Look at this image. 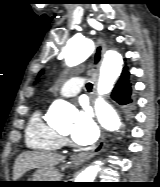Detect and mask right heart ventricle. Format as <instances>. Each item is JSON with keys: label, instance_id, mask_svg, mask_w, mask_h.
Segmentation results:
<instances>
[{"label": "right heart ventricle", "instance_id": "right-heart-ventricle-1", "mask_svg": "<svg viewBox=\"0 0 160 187\" xmlns=\"http://www.w3.org/2000/svg\"><path fill=\"white\" fill-rule=\"evenodd\" d=\"M26 146L40 152H57L63 145V138L46 123L40 110L35 111L26 126Z\"/></svg>", "mask_w": 160, "mask_h": 187}]
</instances>
